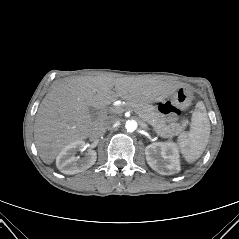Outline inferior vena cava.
Instances as JSON below:
<instances>
[{
  "label": "inferior vena cava",
  "mask_w": 239,
  "mask_h": 239,
  "mask_svg": "<svg viewBox=\"0 0 239 239\" xmlns=\"http://www.w3.org/2000/svg\"><path fill=\"white\" fill-rule=\"evenodd\" d=\"M113 123L112 119H108L104 121L103 123L98 124L96 127V133L98 136H102L107 129L110 128L111 124Z\"/></svg>",
  "instance_id": "obj_1"
}]
</instances>
